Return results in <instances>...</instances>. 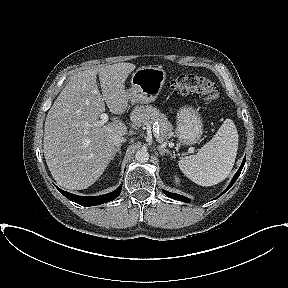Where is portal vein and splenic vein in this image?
<instances>
[{
    "label": "portal vein and splenic vein",
    "mask_w": 288,
    "mask_h": 288,
    "mask_svg": "<svg viewBox=\"0 0 288 288\" xmlns=\"http://www.w3.org/2000/svg\"><path fill=\"white\" fill-rule=\"evenodd\" d=\"M100 119H101V120L98 121V124H99V125L105 124V123L108 121V119H109L108 114H107V113H102V114L100 115Z\"/></svg>",
    "instance_id": "portal-vein-and-splenic-vein-1"
}]
</instances>
